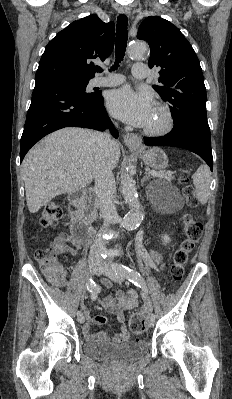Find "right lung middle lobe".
<instances>
[{
    "label": "right lung middle lobe",
    "mask_w": 232,
    "mask_h": 399,
    "mask_svg": "<svg viewBox=\"0 0 232 399\" xmlns=\"http://www.w3.org/2000/svg\"><path fill=\"white\" fill-rule=\"evenodd\" d=\"M62 80L68 84L77 86L85 95H92L93 93H86L85 89L90 79L80 78H62Z\"/></svg>",
    "instance_id": "obj_1"
}]
</instances>
